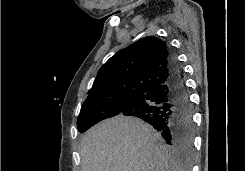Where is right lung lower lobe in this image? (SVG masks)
I'll use <instances>...</instances> for the list:
<instances>
[{"mask_svg": "<svg viewBox=\"0 0 245 171\" xmlns=\"http://www.w3.org/2000/svg\"><path fill=\"white\" fill-rule=\"evenodd\" d=\"M168 80L128 102L120 114L141 118L158 130L176 154H192L194 125L192 107L180 65L169 49Z\"/></svg>", "mask_w": 245, "mask_h": 171, "instance_id": "right-lung-lower-lobe-1", "label": "right lung lower lobe"}]
</instances>
